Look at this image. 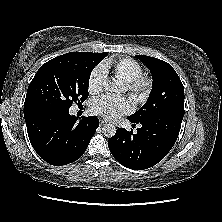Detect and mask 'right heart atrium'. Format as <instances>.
Instances as JSON below:
<instances>
[{
  "label": "right heart atrium",
  "instance_id": "1",
  "mask_svg": "<svg viewBox=\"0 0 222 222\" xmlns=\"http://www.w3.org/2000/svg\"><path fill=\"white\" fill-rule=\"evenodd\" d=\"M106 81V70L103 66H97L93 69L88 80V90L91 94L100 92Z\"/></svg>",
  "mask_w": 222,
  "mask_h": 222
}]
</instances>
